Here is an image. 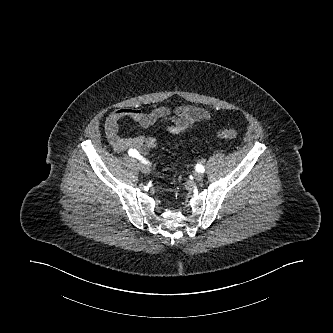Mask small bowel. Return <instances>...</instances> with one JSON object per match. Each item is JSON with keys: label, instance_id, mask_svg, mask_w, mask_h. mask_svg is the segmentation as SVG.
I'll return each instance as SVG.
<instances>
[{"label": "small bowel", "instance_id": "1", "mask_svg": "<svg viewBox=\"0 0 333 333\" xmlns=\"http://www.w3.org/2000/svg\"><path fill=\"white\" fill-rule=\"evenodd\" d=\"M130 119L144 129H148L158 122H165L166 130L172 134H181L201 120L209 119L206 110L196 106H177L173 109L160 106L148 112L138 108H119L113 110L106 118L104 129L107 140L113 150L122 153L135 149L146 153L157 147V140L153 135H138L135 137H121L118 133L119 122Z\"/></svg>", "mask_w": 333, "mask_h": 333}]
</instances>
